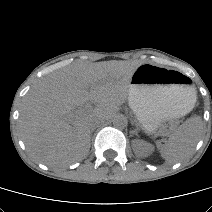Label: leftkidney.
<instances>
[{
    "instance_id": "5707ae66",
    "label": "left kidney",
    "mask_w": 212,
    "mask_h": 212,
    "mask_svg": "<svg viewBox=\"0 0 212 212\" xmlns=\"http://www.w3.org/2000/svg\"><path fill=\"white\" fill-rule=\"evenodd\" d=\"M135 145H136V153L141 157L147 156L153 151L152 145L147 142L135 140Z\"/></svg>"
}]
</instances>
